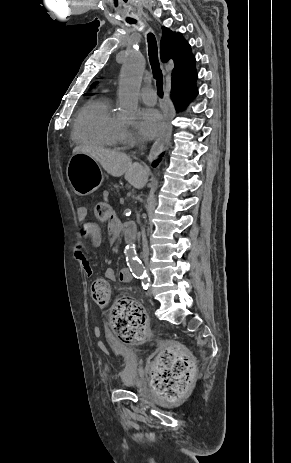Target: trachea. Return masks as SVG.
Wrapping results in <instances>:
<instances>
[{
	"instance_id": "obj_1",
	"label": "trachea",
	"mask_w": 291,
	"mask_h": 463,
	"mask_svg": "<svg viewBox=\"0 0 291 463\" xmlns=\"http://www.w3.org/2000/svg\"><path fill=\"white\" fill-rule=\"evenodd\" d=\"M136 22H130L133 24ZM148 41V53H149V61L152 67V72L154 77L156 78L157 82V92L160 97H163V80H162V71L160 69V64L158 60V47L157 41L153 34L149 33L147 35Z\"/></svg>"
}]
</instances>
